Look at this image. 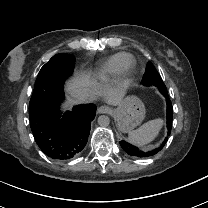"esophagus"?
<instances>
[{
    "label": "esophagus",
    "mask_w": 208,
    "mask_h": 208,
    "mask_svg": "<svg viewBox=\"0 0 208 208\" xmlns=\"http://www.w3.org/2000/svg\"><path fill=\"white\" fill-rule=\"evenodd\" d=\"M97 111L100 114H110L111 108H109L108 106H100Z\"/></svg>",
    "instance_id": "obj_1"
}]
</instances>
